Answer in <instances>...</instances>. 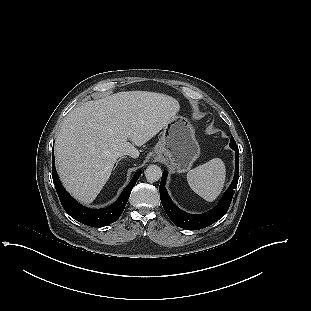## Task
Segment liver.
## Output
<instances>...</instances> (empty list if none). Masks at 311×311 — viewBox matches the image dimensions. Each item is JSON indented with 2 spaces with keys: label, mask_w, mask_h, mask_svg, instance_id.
Returning <instances> with one entry per match:
<instances>
[{
  "label": "liver",
  "mask_w": 311,
  "mask_h": 311,
  "mask_svg": "<svg viewBox=\"0 0 311 311\" xmlns=\"http://www.w3.org/2000/svg\"><path fill=\"white\" fill-rule=\"evenodd\" d=\"M179 108L178 101L165 94L126 91L72 110L55 142V162L64 187L80 202H93L117 158L126 154L138 158L135 146L159 133Z\"/></svg>",
  "instance_id": "obj_1"
}]
</instances>
